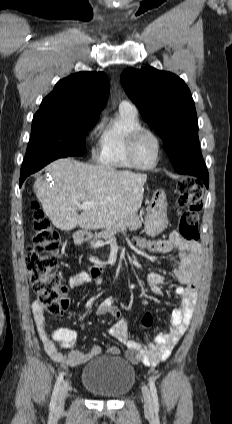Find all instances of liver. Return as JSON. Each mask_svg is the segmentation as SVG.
<instances>
[{
  "mask_svg": "<svg viewBox=\"0 0 232 424\" xmlns=\"http://www.w3.org/2000/svg\"><path fill=\"white\" fill-rule=\"evenodd\" d=\"M51 185L39 177L36 196L53 225L64 231L107 228L141 207L147 175L119 171L111 166L90 165L71 158L50 163ZM92 201L78 214V203Z\"/></svg>",
  "mask_w": 232,
  "mask_h": 424,
  "instance_id": "liver-1",
  "label": "liver"
}]
</instances>
